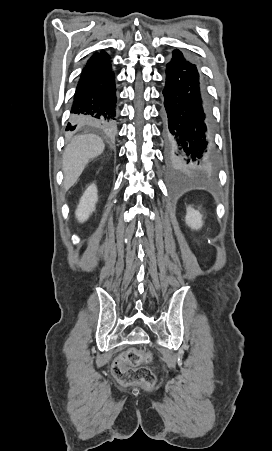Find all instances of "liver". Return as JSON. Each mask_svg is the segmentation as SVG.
I'll return each instance as SVG.
<instances>
[{
	"label": "liver",
	"mask_w": 272,
	"mask_h": 451,
	"mask_svg": "<svg viewBox=\"0 0 272 451\" xmlns=\"http://www.w3.org/2000/svg\"><path fill=\"white\" fill-rule=\"evenodd\" d=\"M104 150L103 140L95 134H85V136L73 138L72 142L68 144L62 160L65 192L74 186L89 160L100 156Z\"/></svg>",
	"instance_id": "6515ba94"
}]
</instances>
